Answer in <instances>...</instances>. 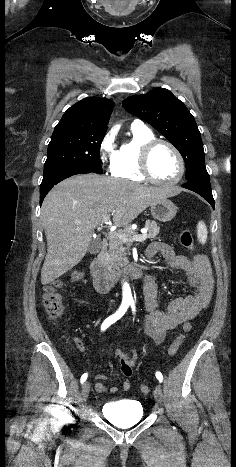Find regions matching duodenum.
Here are the masks:
<instances>
[{"mask_svg": "<svg viewBox=\"0 0 236 467\" xmlns=\"http://www.w3.org/2000/svg\"><path fill=\"white\" fill-rule=\"evenodd\" d=\"M106 248L107 241L103 239L100 243L99 251L95 254L88 265L90 276L98 292H109L125 278L140 276L147 278L149 276L142 264L135 262L126 265L120 272L115 273L109 271L103 261Z\"/></svg>", "mask_w": 236, "mask_h": 467, "instance_id": "obj_1", "label": "duodenum"}]
</instances>
